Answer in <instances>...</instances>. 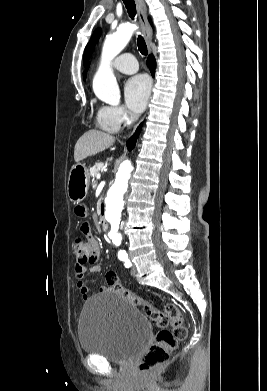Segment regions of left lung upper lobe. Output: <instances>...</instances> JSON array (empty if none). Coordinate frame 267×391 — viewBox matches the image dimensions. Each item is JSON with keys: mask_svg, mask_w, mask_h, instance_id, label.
<instances>
[{"mask_svg": "<svg viewBox=\"0 0 267 391\" xmlns=\"http://www.w3.org/2000/svg\"><path fill=\"white\" fill-rule=\"evenodd\" d=\"M101 35V29L98 28L94 31L91 39H90V42L88 43V45L86 46V49H85V53H84V63L87 61V59L89 58L91 52L93 51V48H94V45L97 43L99 37Z\"/></svg>", "mask_w": 267, "mask_h": 391, "instance_id": "obj_1", "label": "left lung upper lobe"}]
</instances>
